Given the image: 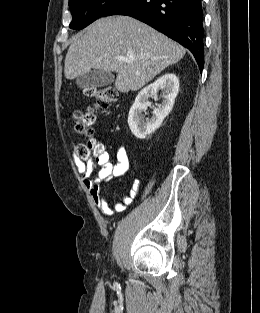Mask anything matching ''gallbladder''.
I'll return each mask as SVG.
<instances>
[{"instance_id":"1","label":"gallbladder","mask_w":260,"mask_h":313,"mask_svg":"<svg viewBox=\"0 0 260 313\" xmlns=\"http://www.w3.org/2000/svg\"><path fill=\"white\" fill-rule=\"evenodd\" d=\"M114 75L111 72H105L101 70H91L76 80L78 87L84 88H97L104 87L114 82Z\"/></svg>"}]
</instances>
